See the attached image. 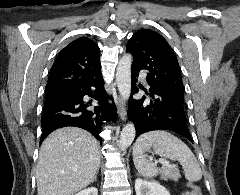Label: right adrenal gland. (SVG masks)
<instances>
[{
  "mask_svg": "<svg viewBox=\"0 0 240 195\" xmlns=\"http://www.w3.org/2000/svg\"><path fill=\"white\" fill-rule=\"evenodd\" d=\"M97 175H98V171H97V173H95V175H94V177L92 179V183H93V181H97Z\"/></svg>",
  "mask_w": 240,
  "mask_h": 195,
  "instance_id": "obj_1",
  "label": "right adrenal gland"
}]
</instances>
